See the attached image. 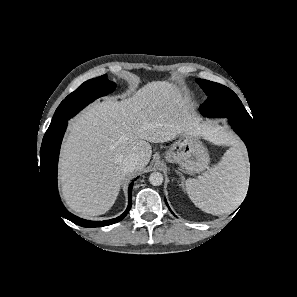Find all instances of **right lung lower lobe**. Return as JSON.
<instances>
[{"label":"right lung lower lobe","instance_id":"obj_1","mask_svg":"<svg viewBox=\"0 0 297 297\" xmlns=\"http://www.w3.org/2000/svg\"><path fill=\"white\" fill-rule=\"evenodd\" d=\"M67 127V121L54 131L46 132L44 135L40 149V164L39 169L42 178V186L51 205L55 211L62 217L72 221L73 223L83 227H102L114 224L122 220L129 212L132 204V187L133 182L129 186L128 198L129 203L126 211L117 218L105 221H88L81 219L66 210L63 206L57 188V164L60 151V145L64 132ZM137 179V178H136ZM135 179V180H136Z\"/></svg>","mask_w":297,"mask_h":297}]
</instances>
